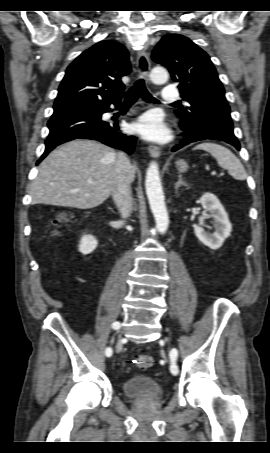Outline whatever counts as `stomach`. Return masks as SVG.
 <instances>
[{
  "label": "stomach",
  "mask_w": 270,
  "mask_h": 453,
  "mask_svg": "<svg viewBox=\"0 0 270 453\" xmlns=\"http://www.w3.org/2000/svg\"><path fill=\"white\" fill-rule=\"evenodd\" d=\"M176 166L180 172H186L188 170V164L185 160H177Z\"/></svg>",
  "instance_id": "obj_1"
}]
</instances>
